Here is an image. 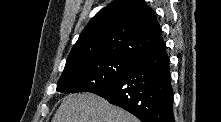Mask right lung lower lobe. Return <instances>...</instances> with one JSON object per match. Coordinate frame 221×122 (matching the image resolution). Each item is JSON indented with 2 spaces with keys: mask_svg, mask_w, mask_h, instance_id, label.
<instances>
[{
  "mask_svg": "<svg viewBox=\"0 0 221 122\" xmlns=\"http://www.w3.org/2000/svg\"><path fill=\"white\" fill-rule=\"evenodd\" d=\"M91 93L142 122H174L169 60L163 40L135 58L120 78Z\"/></svg>",
  "mask_w": 221,
  "mask_h": 122,
  "instance_id": "right-lung-lower-lobe-1",
  "label": "right lung lower lobe"
}]
</instances>
